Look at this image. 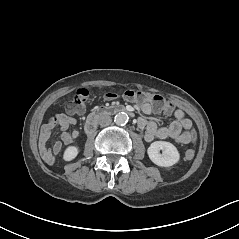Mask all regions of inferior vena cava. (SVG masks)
Returning <instances> with one entry per match:
<instances>
[{
	"instance_id": "602c4592",
	"label": "inferior vena cava",
	"mask_w": 239,
	"mask_h": 239,
	"mask_svg": "<svg viewBox=\"0 0 239 239\" xmlns=\"http://www.w3.org/2000/svg\"><path fill=\"white\" fill-rule=\"evenodd\" d=\"M112 122V118L109 115H103L99 118L98 123L102 127L109 126Z\"/></svg>"
}]
</instances>
